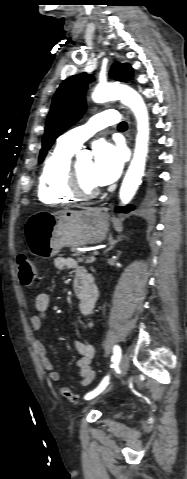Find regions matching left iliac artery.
<instances>
[{
	"label": "left iliac artery",
	"mask_w": 187,
	"mask_h": 479,
	"mask_svg": "<svg viewBox=\"0 0 187 479\" xmlns=\"http://www.w3.org/2000/svg\"><path fill=\"white\" fill-rule=\"evenodd\" d=\"M120 357H121V349L118 345H115L113 348V356H112L113 364L111 365L112 368H114L118 364ZM108 383H109V376H106L95 390L85 395L84 399L90 400L94 398L106 388Z\"/></svg>",
	"instance_id": "44dca946"
}]
</instances>
